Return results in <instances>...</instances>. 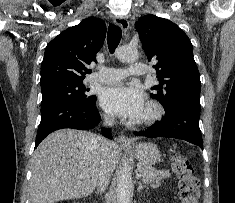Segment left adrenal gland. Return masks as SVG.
Returning a JSON list of instances; mask_svg holds the SVG:
<instances>
[{
  "mask_svg": "<svg viewBox=\"0 0 235 203\" xmlns=\"http://www.w3.org/2000/svg\"><path fill=\"white\" fill-rule=\"evenodd\" d=\"M143 188H145V186H143L141 181H139L137 191L140 192Z\"/></svg>",
  "mask_w": 235,
  "mask_h": 203,
  "instance_id": "obj_1",
  "label": "left adrenal gland"
}]
</instances>
